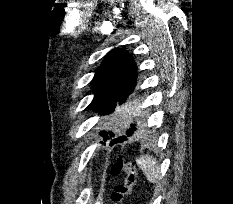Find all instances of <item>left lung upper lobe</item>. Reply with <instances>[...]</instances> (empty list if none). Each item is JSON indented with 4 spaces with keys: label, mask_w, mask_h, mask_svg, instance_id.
Wrapping results in <instances>:
<instances>
[{
    "label": "left lung upper lobe",
    "mask_w": 233,
    "mask_h": 204,
    "mask_svg": "<svg viewBox=\"0 0 233 204\" xmlns=\"http://www.w3.org/2000/svg\"><path fill=\"white\" fill-rule=\"evenodd\" d=\"M136 79L137 67L132 56L123 49L111 50L91 82L95 96L89 106L101 114L113 112L118 102L122 104L126 91L135 86ZM100 134L105 141L114 136L106 131Z\"/></svg>",
    "instance_id": "5c2ea615"
}]
</instances>
